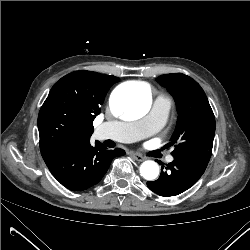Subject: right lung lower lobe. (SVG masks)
Masks as SVG:
<instances>
[{"label":"right lung lower lobe","mask_w":250,"mask_h":250,"mask_svg":"<svg viewBox=\"0 0 250 250\" xmlns=\"http://www.w3.org/2000/svg\"><path fill=\"white\" fill-rule=\"evenodd\" d=\"M124 150H107L100 142L77 143L67 149L42 155L52 175L66 188L82 191L97 184L115 157Z\"/></svg>","instance_id":"1"}]
</instances>
